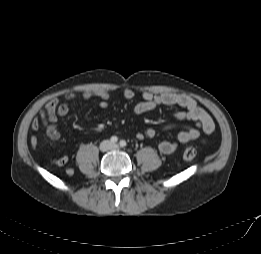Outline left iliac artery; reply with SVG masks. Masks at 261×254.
Here are the masks:
<instances>
[{"instance_id": "left-iliac-artery-1", "label": "left iliac artery", "mask_w": 261, "mask_h": 254, "mask_svg": "<svg viewBox=\"0 0 261 254\" xmlns=\"http://www.w3.org/2000/svg\"><path fill=\"white\" fill-rule=\"evenodd\" d=\"M119 144H120L121 147H125V146H126V141L121 140V141L119 142Z\"/></svg>"}]
</instances>
